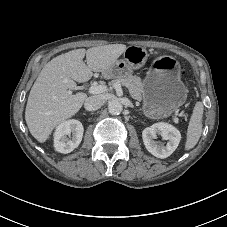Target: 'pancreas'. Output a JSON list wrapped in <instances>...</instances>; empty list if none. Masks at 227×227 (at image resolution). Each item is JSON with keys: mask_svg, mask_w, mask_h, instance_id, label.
Instances as JSON below:
<instances>
[{"mask_svg": "<svg viewBox=\"0 0 227 227\" xmlns=\"http://www.w3.org/2000/svg\"><path fill=\"white\" fill-rule=\"evenodd\" d=\"M119 82L123 86H126L131 94V96L140 101L142 98V90H143V83L140 77L129 75L124 78H119L116 80H113L111 84Z\"/></svg>", "mask_w": 227, "mask_h": 227, "instance_id": "pancreas-1", "label": "pancreas"}]
</instances>
